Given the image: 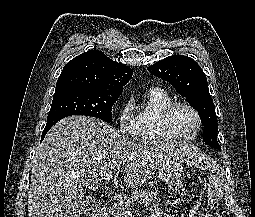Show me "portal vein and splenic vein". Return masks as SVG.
I'll return each mask as SVG.
<instances>
[{"instance_id":"1","label":"portal vein and splenic vein","mask_w":255,"mask_h":217,"mask_svg":"<svg viewBox=\"0 0 255 217\" xmlns=\"http://www.w3.org/2000/svg\"><path fill=\"white\" fill-rule=\"evenodd\" d=\"M112 177H113V175L112 174H109V175H107L105 178H104V180L105 181H109L110 179H112ZM125 216H128V217H132V213H131V211H129V210H126L125 211Z\"/></svg>"}]
</instances>
